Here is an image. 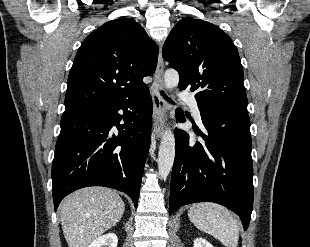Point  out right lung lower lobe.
<instances>
[{"label":"right lung lower lobe","mask_w":310,"mask_h":247,"mask_svg":"<svg viewBox=\"0 0 310 247\" xmlns=\"http://www.w3.org/2000/svg\"><path fill=\"white\" fill-rule=\"evenodd\" d=\"M152 110L147 90L126 101L64 111L52 164L55 210L65 196L87 186L122 191L137 206Z\"/></svg>","instance_id":"1"}]
</instances>
